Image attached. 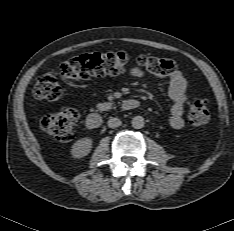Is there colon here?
<instances>
[{
	"mask_svg": "<svg viewBox=\"0 0 234 231\" xmlns=\"http://www.w3.org/2000/svg\"><path fill=\"white\" fill-rule=\"evenodd\" d=\"M129 65L158 78L169 77L177 70V65L171 60L146 55L131 57L121 51L83 53L64 61L60 65L57 75L52 73L41 74L33 87V95L37 99L55 101L61 97L62 93L59 79L82 81L97 76L117 75L123 73ZM188 118L194 126H202L208 123L210 114L205 99L197 98L192 102ZM77 121V111L67 108L43 116L41 128L56 140L66 142L72 139Z\"/></svg>",
	"mask_w": 234,
	"mask_h": 231,
	"instance_id": "1",
	"label": "colon"
}]
</instances>
